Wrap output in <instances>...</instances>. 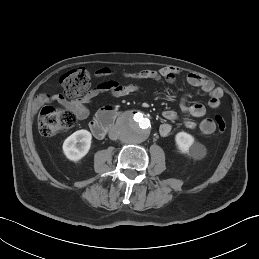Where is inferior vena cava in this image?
I'll list each match as a JSON object with an SVG mask.
<instances>
[{
    "label": "inferior vena cava",
    "mask_w": 259,
    "mask_h": 259,
    "mask_svg": "<svg viewBox=\"0 0 259 259\" xmlns=\"http://www.w3.org/2000/svg\"><path fill=\"white\" fill-rule=\"evenodd\" d=\"M109 138L112 139V140H116L118 138V135L117 133L115 132V130H111L109 132Z\"/></svg>",
    "instance_id": "602c4592"
}]
</instances>
